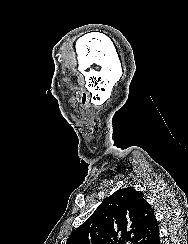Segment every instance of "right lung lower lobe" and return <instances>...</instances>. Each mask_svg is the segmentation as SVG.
<instances>
[{
  "mask_svg": "<svg viewBox=\"0 0 188 244\" xmlns=\"http://www.w3.org/2000/svg\"><path fill=\"white\" fill-rule=\"evenodd\" d=\"M144 244H160L159 228L156 226Z\"/></svg>",
  "mask_w": 188,
  "mask_h": 244,
  "instance_id": "obj_1",
  "label": "right lung lower lobe"
}]
</instances>
